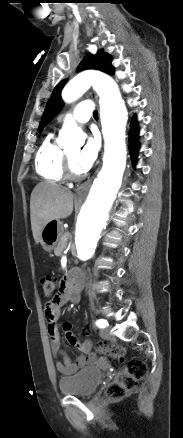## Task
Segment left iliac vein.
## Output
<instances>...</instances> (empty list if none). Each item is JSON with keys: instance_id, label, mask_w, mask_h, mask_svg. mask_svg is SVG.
I'll list each match as a JSON object with an SVG mask.
<instances>
[{"instance_id": "1", "label": "left iliac vein", "mask_w": 183, "mask_h": 438, "mask_svg": "<svg viewBox=\"0 0 183 438\" xmlns=\"http://www.w3.org/2000/svg\"><path fill=\"white\" fill-rule=\"evenodd\" d=\"M100 336H101V338L106 339V340H111L112 339V336L110 335L108 328L102 329L100 331Z\"/></svg>"}]
</instances>
